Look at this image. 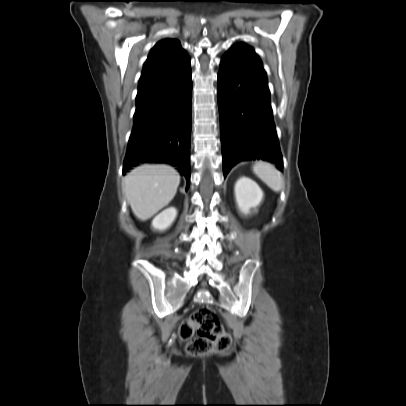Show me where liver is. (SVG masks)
<instances>
[{
	"label": "liver",
	"mask_w": 406,
	"mask_h": 406,
	"mask_svg": "<svg viewBox=\"0 0 406 406\" xmlns=\"http://www.w3.org/2000/svg\"><path fill=\"white\" fill-rule=\"evenodd\" d=\"M180 183L178 172L168 165H141L123 179V191L134 215L146 221L167 206Z\"/></svg>",
	"instance_id": "1"
}]
</instances>
